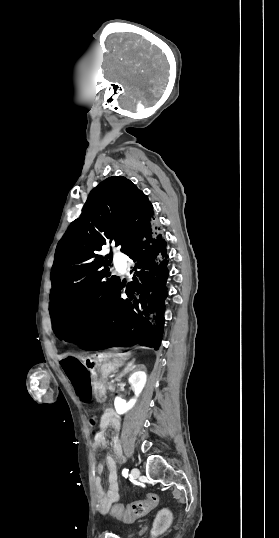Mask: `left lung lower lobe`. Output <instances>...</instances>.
<instances>
[{
    "instance_id": "left-lung-lower-lobe-1",
    "label": "left lung lower lobe",
    "mask_w": 279,
    "mask_h": 538,
    "mask_svg": "<svg viewBox=\"0 0 279 538\" xmlns=\"http://www.w3.org/2000/svg\"><path fill=\"white\" fill-rule=\"evenodd\" d=\"M150 226L127 254L136 264L133 281L126 286L127 300L118 288L113 307L104 323L91 336L68 332L61 339L74 341L86 350L142 345L158 350L164 326L165 286L168 278L166 241ZM136 268L139 270L137 271ZM132 272V271H131Z\"/></svg>"
}]
</instances>
